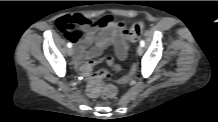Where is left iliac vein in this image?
Masks as SVG:
<instances>
[{
  "instance_id": "left-iliac-vein-1",
  "label": "left iliac vein",
  "mask_w": 218,
  "mask_h": 122,
  "mask_svg": "<svg viewBox=\"0 0 218 122\" xmlns=\"http://www.w3.org/2000/svg\"><path fill=\"white\" fill-rule=\"evenodd\" d=\"M137 53H138V55H140V56L143 54V48H142L141 45H139V46L137 47Z\"/></svg>"
}]
</instances>
